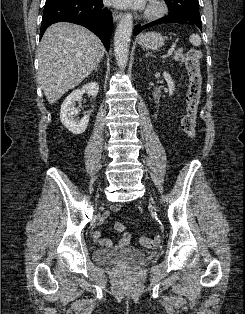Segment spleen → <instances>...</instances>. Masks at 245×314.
<instances>
[{
	"label": "spleen",
	"instance_id": "spleen-1",
	"mask_svg": "<svg viewBox=\"0 0 245 314\" xmlns=\"http://www.w3.org/2000/svg\"><path fill=\"white\" fill-rule=\"evenodd\" d=\"M189 41L195 47H199L201 45V38L198 34H192Z\"/></svg>",
	"mask_w": 245,
	"mask_h": 314
}]
</instances>
